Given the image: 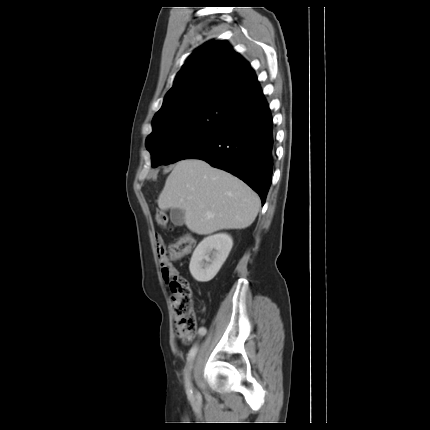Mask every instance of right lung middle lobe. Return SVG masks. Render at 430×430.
I'll return each mask as SVG.
<instances>
[{"mask_svg": "<svg viewBox=\"0 0 430 430\" xmlns=\"http://www.w3.org/2000/svg\"><path fill=\"white\" fill-rule=\"evenodd\" d=\"M232 109L223 101H205L153 123L146 140L151 164H170L185 159L215 137L228 124Z\"/></svg>", "mask_w": 430, "mask_h": 430, "instance_id": "dd1d6c3e", "label": "right lung middle lobe"}]
</instances>
